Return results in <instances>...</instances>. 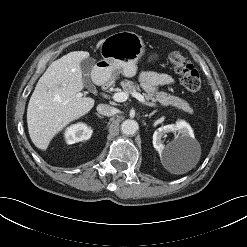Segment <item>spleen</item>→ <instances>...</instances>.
<instances>
[{"label": "spleen", "instance_id": "spleen-1", "mask_svg": "<svg viewBox=\"0 0 247 247\" xmlns=\"http://www.w3.org/2000/svg\"><path fill=\"white\" fill-rule=\"evenodd\" d=\"M189 169H183V170H179V171H177L176 173H178V174H182V173H184V172H186V171H188Z\"/></svg>", "mask_w": 247, "mask_h": 247}]
</instances>
